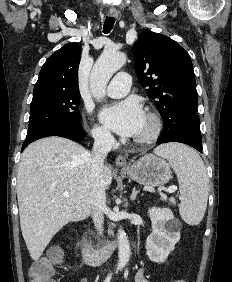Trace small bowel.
<instances>
[{
  "instance_id": "c3829d8e",
  "label": "small bowel",
  "mask_w": 232,
  "mask_h": 282,
  "mask_svg": "<svg viewBox=\"0 0 232 282\" xmlns=\"http://www.w3.org/2000/svg\"><path fill=\"white\" fill-rule=\"evenodd\" d=\"M81 282H88V280L84 278L81 280ZM134 282H149V280L145 276V270L143 268L137 271Z\"/></svg>"
}]
</instances>
